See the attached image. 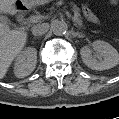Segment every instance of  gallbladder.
I'll return each mask as SVG.
<instances>
[{
    "label": "gallbladder",
    "mask_w": 119,
    "mask_h": 119,
    "mask_svg": "<svg viewBox=\"0 0 119 119\" xmlns=\"http://www.w3.org/2000/svg\"><path fill=\"white\" fill-rule=\"evenodd\" d=\"M0 23L2 25H4V26H8L9 25V21H8L7 17L2 16V15H0Z\"/></svg>",
    "instance_id": "obj_1"
}]
</instances>
